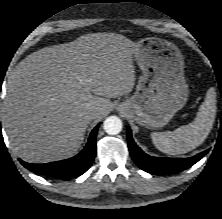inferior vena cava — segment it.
<instances>
[{
    "instance_id": "602c4592",
    "label": "inferior vena cava",
    "mask_w": 222,
    "mask_h": 219,
    "mask_svg": "<svg viewBox=\"0 0 222 219\" xmlns=\"http://www.w3.org/2000/svg\"><path fill=\"white\" fill-rule=\"evenodd\" d=\"M98 109H93L92 111H90V115H95L97 113Z\"/></svg>"
}]
</instances>
